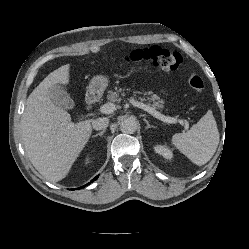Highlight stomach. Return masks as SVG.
Wrapping results in <instances>:
<instances>
[{
    "label": "stomach",
    "mask_w": 249,
    "mask_h": 249,
    "mask_svg": "<svg viewBox=\"0 0 249 249\" xmlns=\"http://www.w3.org/2000/svg\"><path fill=\"white\" fill-rule=\"evenodd\" d=\"M108 82L105 76H95L90 81L88 90L92 93H102L107 88Z\"/></svg>",
    "instance_id": "stomach-1"
}]
</instances>
